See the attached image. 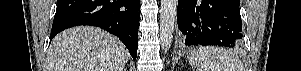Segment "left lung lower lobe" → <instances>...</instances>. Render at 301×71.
Returning <instances> with one entry per match:
<instances>
[{"label":"left lung lower lobe","instance_id":"1","mask_svg":"<svg viewBox=\"0 0 301 71\" xmlns=\"http://www.w3.org/2000/svg\"><path fill=\"white\" fill-rule=\"evenodd\" d=\"M177 21L187 46L242 43L239 0H178Z\"/></svg>","mask_w":301,"mask_h":71}]
</instances>
